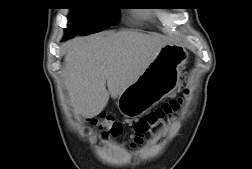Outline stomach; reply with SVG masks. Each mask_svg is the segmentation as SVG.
Instances as JSON below:
<instances>
[{
  "instance_id": "0dacf381",
  "label": "stomach",
  "mask_w": 252,
  "mask_h": 169,
  "mask_svg": "<svg viewBox=\"0 0 252 169\" xmlns=\"http://www.w3.org/2000/svg\"><path fill=\"white\" fill-rule=\"evenodd\" d=\"M188 53L172 43L161 48L136 82L118 97L117 107L127 118H138L172 94L180 83Z\"/></svg>"
}]
</instances>
